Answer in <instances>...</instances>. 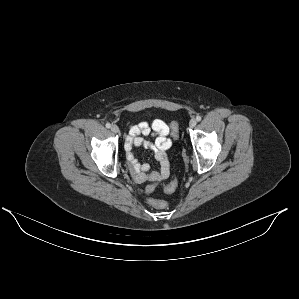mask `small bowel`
Instances as JSON below:
<instances>
[{"instance_id":"small-bowel-1","label":"small bowel","mask_w":299,"mask_h":299,"mask_svg":"<svg viewBox=\"0 0 299 299\" xmlns=\"http://www.w3.org/2000/svg\"><path fill=\"white\" fill-rule=\"evenodd\" d=\"M169 126L160 119L151 123L141 122L131 126L125 143L126 156L129 168L137 183H146V191L153 192L155 187L169 177L170 163L166 151L171 146ZM155 136L153 141L144 139L143 136ZM151 148L159 164L158 169L150 171L149 164H141L135 157L134 148Z\"/></svg>"}]
</instances>
